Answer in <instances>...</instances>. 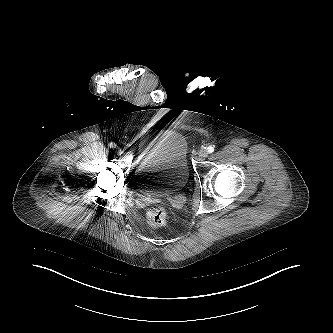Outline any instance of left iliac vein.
Masks as SVG:
<instances>
[{
	"label": "left iliac vein",
	"mask_w": 333,
	"mask_h": 333,
	"mask_svg": "<svg viewBox=\"0 0 333 333\" xmlns=\"http://www.w3.org/2000/svg\"><path fill=\"white\" fill-rule=\"evenodd\" d=\"M198 155L200 158H206L208 156V151L206 149H201Z\"/></svg>",
	"instance_id": "obj_1"
}]
</instances>
